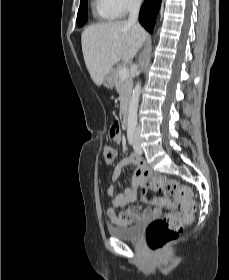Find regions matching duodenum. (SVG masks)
<instances>
[{
	"mask_svg": "<svg viewBox=\"0 0 229 280\" xmlns=\"http://www.w3.org/2000/svg\"><path fill=\"white\" fill-rule=\"evenodd\" d=\"M121 124L123 127H126L128 124V108L125 106L121 113Z\"/></svg>",
	"mask_w": 229,
	"mask_h": 280,
	"instance_id": "1",
	"label": "duodenum"
}]
</instances>
